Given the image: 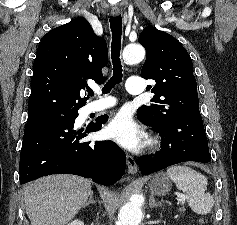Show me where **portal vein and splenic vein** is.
Segmentation results:
<instances>
[{
    "label": "portal vein and splenic vein",
    "mask_w": 237,
    "mask_h": 225,
    "mask_svg": "<svg viewBox=\"0 0 237 225\" xmlns=\"http://www.w3.org/2000/svg\"><path fill=\"white\" fill-rule=\"evenodd\" d=\"M179 197H180L182 200H185V198H184L183 195H179Z\"/></svg>",
    "instance_id": "portal-vein-and-splenic-vein-1"
}]
</instances>
